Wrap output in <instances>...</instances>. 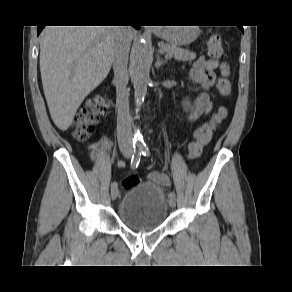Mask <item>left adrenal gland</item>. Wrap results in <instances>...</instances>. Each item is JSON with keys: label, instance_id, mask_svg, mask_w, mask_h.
<instances>
[{"label": "left adrenal gland", "instance_id": "a2214340", "mask_svg": "<svg viewBox=\"0 0 292 292\" xmlns=\"http://www.w3.org/2000/svg\"><path fill=\"white\" fill-rule=\"evenodd\" d=\"M167 63V60H162L160 59V56L159 54L157 55V60H156V63H155V68L156 69H159L162 65L166 64Z\"/></svg>", "mask_w": 292, "mask_h": 292}]
</instances>
